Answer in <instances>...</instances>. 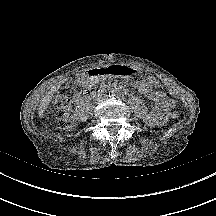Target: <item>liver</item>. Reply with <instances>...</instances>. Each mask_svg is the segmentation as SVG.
<instances>
[{
  "mask_svg": "<svg viewBox=\"0 0 216 216\" xmlns=\"http://www.w3.org/2000/svg\"><path fill=\"white\" fill-rule=\"evenodd\" d=\"M58 90V86H54L51 91L47 92L45 97L43 98L42 102L40 103V106H39V111H38V114H39V118H42L43 117V112L46 110L48 104L50 103L52 97H53V94L56 93Z\"/></svg>",
  "mask_w": 216,
  "mask_h": 216,
  "instance_id": "1",
  "label": "liver"
}]
</instances>
